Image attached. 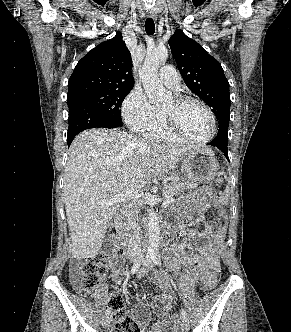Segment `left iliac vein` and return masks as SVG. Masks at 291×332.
<instances>
[{
  "label": "left iliac vein",
  "instance_id": "left-iliac-vein-1",
  "mask_svg": "<svg viewBox=\"0 0 291 332\" xmlns=\"http://www.w3.org/2000/svg\"><path fill=\"white\" fill-rule=\"evenodd\" d=\"M142 262L144 266L152 267V263L149 259H144ZM179 323H180V328L183 332H187L189 330V322L187 318L181 317Z\"/></svg>",
  "mask_w": 291,
  "mask_h": 332
}]
</instances>
